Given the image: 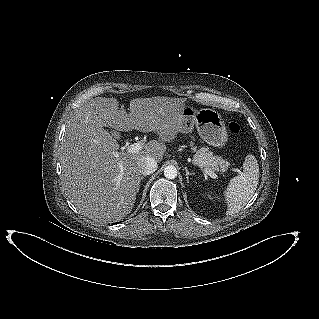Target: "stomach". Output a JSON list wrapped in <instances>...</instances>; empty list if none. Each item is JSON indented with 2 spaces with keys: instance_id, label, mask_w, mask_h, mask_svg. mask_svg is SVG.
<instances>
[{
  "instance_id": "stomach-1",
  "label": "stomach",
  "mask_w": 319,
  "mask_h": 319,
  "mask_svg": "<svg viewBox=\"0 0 319 319\" xmlns=\"http://www.w3.org/2000/svg\"><path fill=\"white\" fill-rule=\"evenodd\" d=\"M196 126L201 138L214 147L223 146L228 140L222 116L215 110L196 109L185 104L180 113V132L189 133Z\"/></svg>"
}]
</instances>
